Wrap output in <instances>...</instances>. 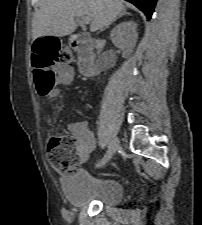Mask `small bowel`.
Instances as JSON below:
<instances>
[{"mask_svg": "<svg viewBox=\"0 0 202 225\" xmlns=\"http://www.w3.org/2000/svg\"><path fill=\"white\" fill-rule=\"evenodd\" d=\"M62 72H65V81L69 83L72 79L73 69L72 66L67 65L60 68ZM68 130L75 140L78 146V159L81 163H85L89 160L90 155L95 148L96 141L93 133L88 128L86 121H78L71 123L68 126Z\"/></svg>", "mask_w": 202, "mask_h": 225, "instance_id": "c3829d8e", "label": "small bowel"}]
</instances>
